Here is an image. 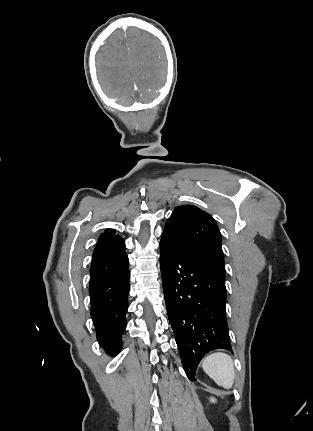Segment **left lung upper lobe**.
Here are the masks:
<instances>
[{
  "label": "left lung upper lobe",
  "mask_w": 313,
  "mask_h": 431,
  "mask_svg": "<svg viewBox=\"0 0 313 431\" xmlns=\"http://www.w3.org/2000/svg\"><path fill=\"white\" fill-rule=\"evenodd\" d=\"M162 236L179 250L225 276L222 236L215 220L196 206H178L168 218Z\"/></svg>",
  "instance_id": "5c2ea615"
}]
</instances>
